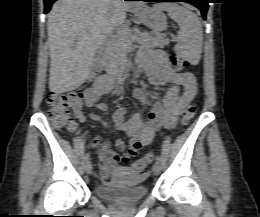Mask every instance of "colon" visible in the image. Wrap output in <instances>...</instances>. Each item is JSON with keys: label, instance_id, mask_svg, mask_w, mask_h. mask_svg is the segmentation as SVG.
I'll return each instance as SVG.
<instances>
[{"label": "colon", "instance_id": "1", "mask_svg": "<svg viewBox=\"0 0 260 217\" xmlns=\"http://www.w3.org/2000/svg\"><path fill=\"white\" fill-rule=\"evenodd\" d=\"M169 61L176 69H182L187 64L186 60L177 53H171L169 55ZM83 99L84 95L76 92L49 94L47 97V103L50 106L48 117L53 125L58 129L67 130L72 133L77 132V124L70 113V108L82 104ZM196 110V105L191 104L183 111L182 125L186 126L193 120ZM94 143L98 144L99 141L95 140ZM152 160L153 155L149 154L145 158L134 162L133 168L136 171L141 172L152 162Z\"/></svg>", "mask_w": 260, "mask_h": 217}]
</instances>
